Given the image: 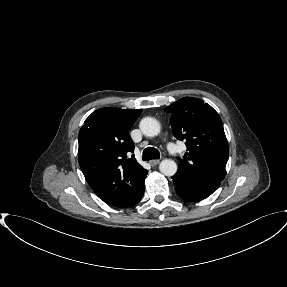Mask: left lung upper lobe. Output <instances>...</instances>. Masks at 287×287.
Instances as JSON below:
<instances>
[{"instance_id": "5c2ea615", "label": "left lung upper lobe", "mask_w": 287, "mask_h": 287, "mask_svg": "<svg viewBox=\"0 0 287 287\" xmlns=\"http://www.w3.org/2000/svg\"><path fill=\"white\" fill-rule=\"evenodd\" d=\"M171 114L174 136L188 152L179 160L178 176L192 184H220L226 175L229 148L218 113L197 98L185 97L164 109Z\"/></svg>"}]
</instances>
